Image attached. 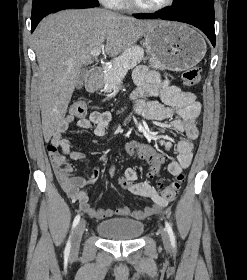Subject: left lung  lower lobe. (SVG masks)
I'll use <instances>...</instances> for the list:
<instances>
[{
  "instance_id": "left-lung-lower-lobe-1",
  "label": "left lung lower lobe",
  "mask_w": 247,
  "mask_h": 280,
  "mask_svg": "<svg viewBox=\"0 0 247 280\" xmlns=\"http://www.w3.org/2000/svg\"><path fill=\"white\" fill-rule=\"evenodd\" d=\"M138 18L180 21L191 24L199 28L210 39L213 46H215V30H214V7H195L183 10H168L163 11L159 15H135Z\"/></svg>"
}]
</instances>
